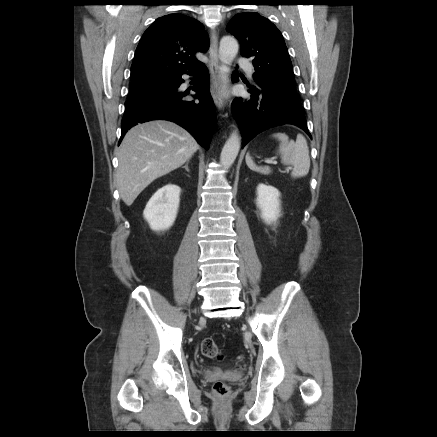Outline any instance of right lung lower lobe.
I'll return each mask as SVG.
<instances>
[{
	"label": "right lung lower lobe",
	"mask_w": 437,
	"mask_h": 437,
	"mask_svg": "<svg viewBox=\"0 0 437 437\" xmlns=\"http://www.w3.org/2000/svg\"><path fill=\"white\" fill-rule=\"evenodd\" d=\"M183 74L193 76V95L198 100H187L189 92L181 91ZM155 119L170 120L185 128L197 142L208 150L216 124L215 106L210 95L207 67L201 62L171 79L167 87L129 97L125 102L120 142L132 126Z\"/></svg>",
	"instance_id": "1"
}]
</instances>
